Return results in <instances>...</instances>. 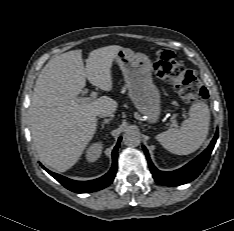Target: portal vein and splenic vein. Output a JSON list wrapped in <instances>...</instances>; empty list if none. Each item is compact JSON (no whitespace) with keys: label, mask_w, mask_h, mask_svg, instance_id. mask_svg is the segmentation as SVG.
Listing matches in <instances>:
<instances>
[{"label":"portal vein and splenic vein","mask_w":234,"mask_h":231,"mask_svg":"<svg viewBox=\"0 0 234 231\" xmlns=\"http://www.w3.org/2000/svg\"><path fill=\"white\" fill-rule=\"evenodd\" d=\"M97 97V93L96 92H91L90 97H80V98H76V102L78 103H88L93 101L95 98ZM175 118L176 116H172V121H173V126L177 127V124L175 123Z\"/></svg>","instance_id":"portal-vein-and-splenic-vein-1"}]
</instances>
